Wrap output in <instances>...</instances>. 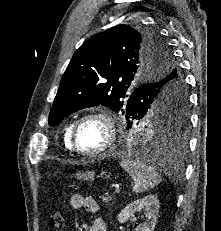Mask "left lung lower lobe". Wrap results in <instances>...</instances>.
I'll use <instances>...</instances> for the list:
<instances>
[{"mask_svg":"<svg viewBox=\"0 0 221 231\" xmlns=\"http://www.w3.org/2000/svg\"><path fill=\"white\" fill-rule=\"evenodd\" d=\"M181 85L183 88L185 87L183 83ZM159 86L160 84L158 83H150L144 88L139 87L135 89L130 95L128 102H130L131 105H137L138 101L141 100L142 92L151 91ZM175 104L177 107L179 99L175 101ZM136 120V115L131 112L130 117L127 118V129H130ZM137 137V141L145 146V149L141 152V154L146 155L153 149H159L168 156L166 161L167 163H172L174 160L180 159L186 151L187 142L183 132H180L179 134H172L170 136L168 134L165 136L164 134L160 135L159 132L153 134L139 133L137 134Z\"/></svg>","mask_w":221,"mask_h":231,"instance_id":"1","label":"left lung lower lobe"}]
</instances>
